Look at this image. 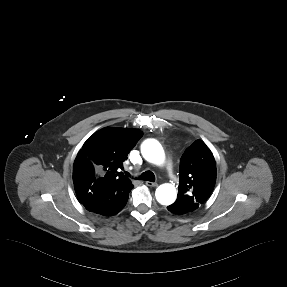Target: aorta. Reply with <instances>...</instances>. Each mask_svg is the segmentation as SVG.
<instances>
[{
	"mask_svg": "<svg viewBox=\"0 0 287 287\" xmlns=\"http://www.w3.org/2000/svg\"><path fill=\"white\" fill-rule=\"evenodd\" d=\"M141 153L150 163L161 165L165 161L163 147L155 139L145 140L141 145ZM155 197L161 205H171L176 200L177 191L173 185L165 183L156 189Z\"/></svg>",
	"mask_w": 287,
	"mask_h": 287,
	"instance_id": "aorta-1",
	"label": "aorta"
}]
</instances>
